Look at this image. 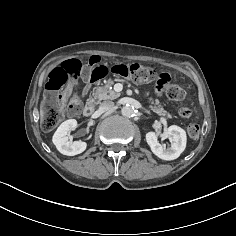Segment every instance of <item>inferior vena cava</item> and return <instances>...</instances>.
I'll return each instance as SVG.
<instances>
[{
	"label": "inferior vena cava",
	"mask_w": 236,
	"mask_h": 236,
	"mask_svg": "<svg viewBox=\"0 0 236 236\" xmlns=\"http://www.w3.org/2000/svg\"><path fill=\"white\" fill-rule=\"evenodd\" d=\"M113 107H114V102H112V101H104L99 106V111L100 112H107V111L111 110Z\"/></svg>",
	"instance_id": "602c4592"
}]
</instances>
